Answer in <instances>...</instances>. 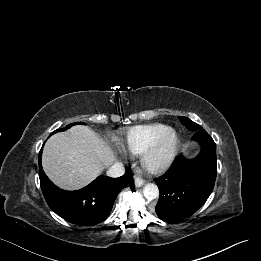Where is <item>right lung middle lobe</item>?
<instances>
[{
	"mask_svg": "<svg viewBox=\"0 0 261 261\" xmlns=\"http://www.w3.org/2000/svg\"><path fill=\"white\" fill-rule=\"evenodd\" d=\"M76 124H85V123L84 122H77V123L69 124L65 128L55 130L52 134H54L56 132H60V131H65L68 128H70L71 126L76 125Z\"/></svg>",
	"mask_w": 261,
	"mask_h": 261,
	"instance_id": "1",
	"label": "right lung middle lobe"
}]
</instances>
